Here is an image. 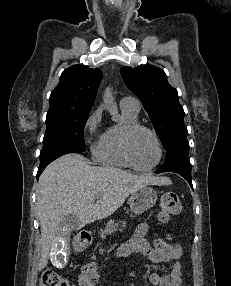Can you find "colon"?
<instances>
[{
    "instance_id": "colon-1",
    "label": "colon",
    "mask_w": 231,
    "mask_h": 286,
    "mask_svg": "<svg viewBox=\"0 0 231 286\" xmlns=\"http://www.w3.org/2000/svg\"><path fill=\"white\" fill-rule=\"evenodd\" d=\"M183 210L179 197L174 192H166L160 201L159 219L167 223ZM39 286H74L66 278L53 270L45 271L40 278Z\"/></svg>"
}]
</instances>
